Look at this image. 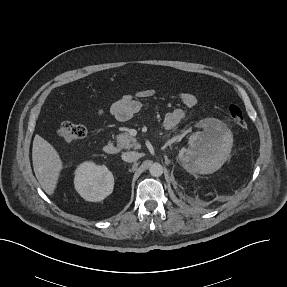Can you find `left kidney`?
Wrapping results in <instances>:
<instances>
[{
  "label": "left kidney",
  "mask_w": 287,
  "mask_h": 287,
  "mask_svg": "<svg viewBox=\"0 0 287 287\" xmlns=\"http://www.w3.org/2000/svg\"><path fill=\"white\" fill-rule=\"evenodd\" d=\"M232 143L229 130L220 124H206L203 132L190 137V147L180 150L179 159L188 172L211 174L227 161Z\"/></svg>",
  "instance_id": "1"
}]
</instances>
